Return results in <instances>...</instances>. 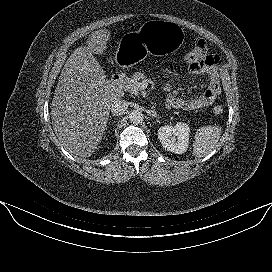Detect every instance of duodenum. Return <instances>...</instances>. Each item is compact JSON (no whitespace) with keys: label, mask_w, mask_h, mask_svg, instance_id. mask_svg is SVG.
Segmentation results:
<instances>
[{"label":"duodenum","mask_w":272,"mask_h":272,"mask_svg":"<svg viewBox=\"0 0 272 272\" xmlns=\"http://www.w3.org/2000/svg\"><path fill=\"white\" fill-rule=\"evenodd\" d=\"M114 82L116 84H121L124 79H125V73L123 71H118L115 75H114Z\"/></svg>","instance_id":"1"}]
</instances>
